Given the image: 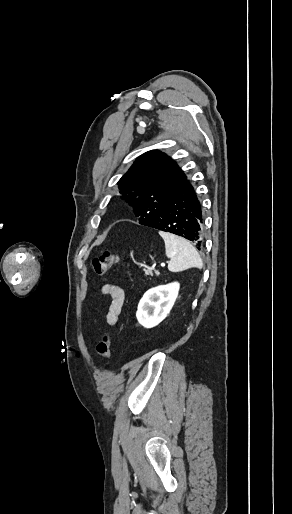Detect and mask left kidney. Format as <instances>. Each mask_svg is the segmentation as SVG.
Here are the masks:
<instances>
[{"label": "left kidney", "mask_w": 292, "mask_h": 514, "mask_svg": "<svg viewBox=\"0 0 292 514\" xmlns=\"http://www.w3.org/2000/svg\"><path fill=\"white\" fill-rule=\"evenodd\" d=\"M180 284L173 282L167 286H157L145 292L138 304L136 318L144 328H154L167 318L178 296Z\"/></svg>", "instance_id": "obj_1"}]
</instances>
